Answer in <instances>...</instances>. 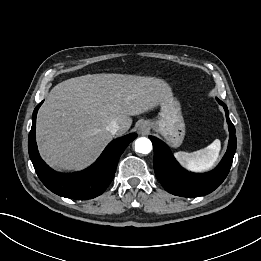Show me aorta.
Segmentation results:
<instances>
[{"instance_id": "762f6f07", "label": "aorta", "mask_w": 261, "mask_h": 261, "mask_svg": "<svg viewBox=\"0 0 261 261\" xmlns=\"http://www.w3.org/2000/svg\"><path fill=\"white\" fill-rule=\"evenodd\" d=\"M152 150V143L146 137L138 138L135 141V151L142 154H148Z\"/></svg>"}]
</instances>
